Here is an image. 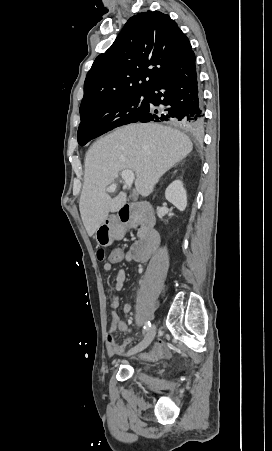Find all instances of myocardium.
Segmentation results:
<instances>
[{
	"instance_id": "myocardium-1",
	"label": "myocardium",
	"mask_w": 272,
	"mask_h": 451,
	"mask_svg": "<svg viewBox=\"0 0 272 451\" xmlns=\"http://www.w3.org/2000/svg\"><path fill=\"white\" fill-rule=\"evenodd\" d=\"M95 193H96V191H92V192H91L92 195H95Z\"/></svg>"
}]
</instances>
